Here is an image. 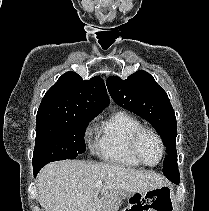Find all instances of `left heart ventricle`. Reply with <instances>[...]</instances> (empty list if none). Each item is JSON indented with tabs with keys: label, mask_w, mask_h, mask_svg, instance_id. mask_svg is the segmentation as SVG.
Masks as SVG:
<instances>
[{
	"label": "left heart ventricle",
	"mask_w": 209,
	"mask_h": 211,
	"mask_svg": "<svg viewBox=\"0 0 209 211\" xmlns=\"http://www.w3.org/2000/svg\"><path fill=\"white\" fill-rule=\"evenodd\" d=\"M139 151L142 158L149 164L157 163L161 156V149L157 139L149 133L142 136L139 142Z\"/></svg>",
	"instance_id": "obj_1"
}]
</instances>
